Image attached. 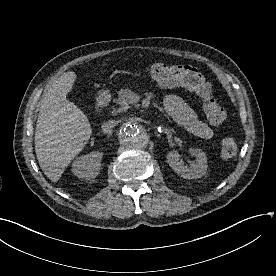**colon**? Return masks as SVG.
<instances>
[{"instance_id": "1", "label": "colon", "mask_w": 276, "mask_h": 276, "mask_svg": "<svg viewBox=\"0 0 276 276\" xmlns=\"http://www.w3.org/2000/svg\"><path fill=\"white\" fill-rule=\"evenodd\" d=\"M148 74L159 85L164 87H185L199 96L208 121L221 125L227 119L225 108L214 98L212 86L206 77L192 65H168L156 63L148 67ZM239 151L237 141L226 137L221 142V156L224 159L234 158Z\"/></svg>"}]
</instances>
